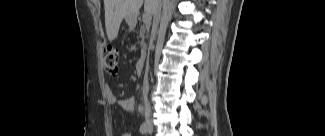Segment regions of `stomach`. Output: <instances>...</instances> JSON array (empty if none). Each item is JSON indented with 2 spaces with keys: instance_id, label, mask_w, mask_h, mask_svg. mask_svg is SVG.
I'll return each mask as SVG.
<instances>
[{
  "instance_id": "1",
  "label": "stomach",
  "mask_w": 325,
  "mask_h": 136,
  "mask_svg": "<svg viewBox=\"0 0 325 136\" xmlns=\"http://www.w3.org/2000/svg\"><path fill=\"white\" fill-rule=\"evenodd\" d=\"M136 17H134V16H127L126 17V21L128 22V24L130 25V26H132V27H134L135 26V24H136Z\"/></svg>"
}]
</instances>
